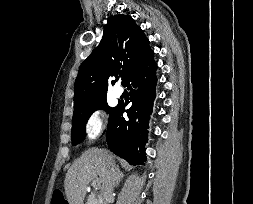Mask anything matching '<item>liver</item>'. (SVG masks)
<instances>
[{"instance_id":"liver-1","label":"liver","mask_w":253,"mask_h":204,"mask_svg":"<svg viewBox=\"0 0 253 204\" xmlns=\"http://www.w3.org/2000/svg\"><path fill=\"white\" fill-rule=\"evenodd\" d=\"M109 162L115 166V156L99 148L85 151L74 161L64 181L66 197L70 204H83L87 186L91 181L96 179L101 183L104 182Z\"/></svg>"}]
</instances>
